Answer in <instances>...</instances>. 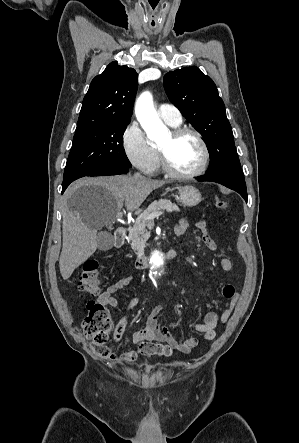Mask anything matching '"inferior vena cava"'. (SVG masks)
Here are the masks:
<instances>
[{"label": "inferior vena cava", "instance_id": "obj_1", "mask_svg": "<svg viewBox=\"0 0 299 443\" xmlns=\"http://www.w3.org/2000/svg\"><path fill=\"white\" fill-rule=\"evenodd\" d=\"M135 179H143L144 176H142L140 173H135L133 176Z\"/></svg>", "mask_w": 299, "mask_h": 443}]
</instances>
